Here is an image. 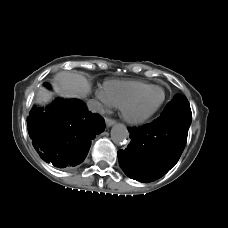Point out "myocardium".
<instances>
[{
    "label": "myocardium",
    "mask_w": 228,
    "mask_h": 228,
    "mask_svg": "<svg viewBox=\"0 0 228 228\" xmlns=\"http://www.w3.org/2000/svg\"><path fill=\"white\" fill-rule=\"evenodd\" d=\"M153 89H159L162 91V99L160 100V102L152 110L148 112H145L140 115L130 114L128 111L129 106L132 105L134 102H136L142 95H144L145 93ZM165 98H166V94L162 87L157 85H150L149 87L137 92L136 94L132 95L131 97H129L127 100L123 102V104L120 106L122 116L127 122L131 124H141L147 121L149 118H151L160 109V107L163 105L165 101Z\"/></svg>",
    "instance_id": "1"
}]
</instances>
